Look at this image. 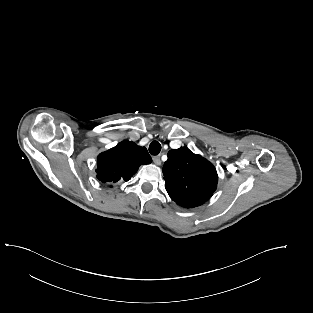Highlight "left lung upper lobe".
<instances>
[{"label": "left lung upper lobe", "instance_id": "obj_1", "mask_svg": "<svg viewBox=\"0 0 313 313\" xmlns=\"http://www.w3.org/2000/svg\"><path fill=\"white\" fill-rule=\"evenodd\" d=\"M163 175L169 196L185 208L205 203L215 192L218 183L213 164L186 147L168 152Z\"/></svg>", "mask_w": 313, "mask_h": 313}]
</instances>
